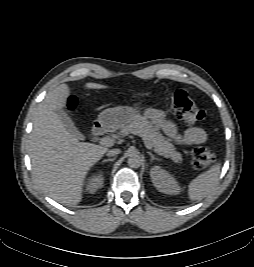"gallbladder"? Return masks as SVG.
<instances>
[{"label":"gallbladder","instance_id":"bac80fb5","mask_svg":"<svg viewBox=\"0 0 254 267\" xmlns=\"http://www.w3.org/2000/svg\"><path fill=\"white\" fill-rule=\"evenodd\" d=\"M56 115L59 117L65 128L72 133L75 137L78 139H82L83 135L78 131V129L75 127L73 121L68 116V114L63 109H56L55 110Z\"/></svg>","mask_w":254,"mask_h":267}]
</instances>
